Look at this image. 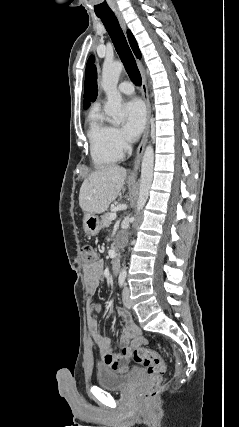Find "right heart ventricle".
I'll list each match as a JSON object with an SVG mask.
<instances>
[{"label":"right heart ventricle","mask_w":239,"mask_h":427,"mask_svg":"<svg viewBox=\"0 0 239 427\" xmlns=\"http://www.w3.org/2000/svg\"><path fill=\"white\" fill-rule=\"evenodd\" d=\"M112 128L105 122L100 112L96 110L91 112L87 135L91 158L97 167L114 164L122 157V153L114 145Z\"/></svg>","instance_id":"right-heart-ventricle-1"}]
</instances>
